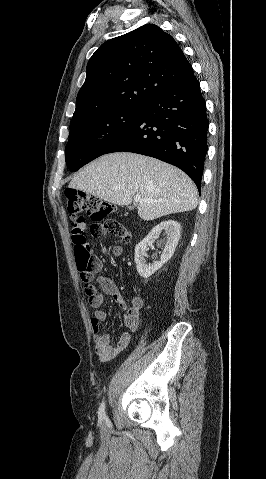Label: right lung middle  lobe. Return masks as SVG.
Segmentation results:
<instances>
[{"mask_svg":"<svg viewBox=\"0 0 266 479\" xmlns=\"http://www.w3.org/2000/svg\"><path fill=\"white\" fill-rule=\"evenodd\" d=\"M142 111L143 107L121 108L72 120L65 149L68 168L77 171L103 155L134 124Z\"/></svg>","mask_w":266,"mask_h":479,"instance_id":"1","label":"right lung middle lobe"}]
</instances>
